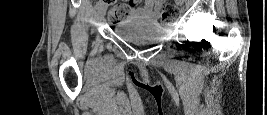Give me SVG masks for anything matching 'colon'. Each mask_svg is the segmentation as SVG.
I'll return each instance as SVG.
<instances>
[{
    "instance_id": "colon-1",
    "label": "colon",
    "mask_w": 267,
    "mask_h": 115,
    "mask_svg": "<svg viewBox=\"0 0 267 115\" xmlns=\"http://www.w3.org/2000/svg\"><path fill=\"white\" fill-rule=\"evenodd\" d=\"M130 7L125 3H117L109 7L107 18L112 23H118L128 17ZM161 17L165 21H173L179 17V9L176 5L165 4L161 7Z\"/></svg>"
}]
</instances>
